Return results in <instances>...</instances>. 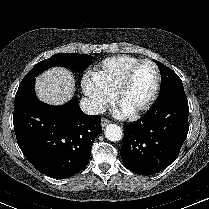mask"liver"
Returning a JSON list of instances; mask_svg holds the SVG:
<instances>
[{"mask_svg": "<svg viewBox=\"0 0 209 209\" xmlns=\"http://www.w3.org/2000/svg\"><path fill=\"white\" fill-rule=\"evenodd\" d=\"M37 97L50 105H63L75 91V81L71 72L62 67H53L36 78Z\"/></svg>", "mask_w": 209, "mask_h": 209, "instance_id": "liver-1", "label": "liver"}]
</instances>
